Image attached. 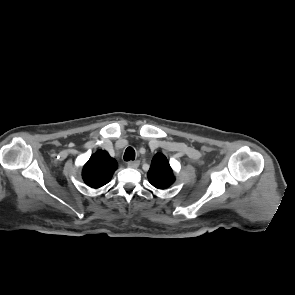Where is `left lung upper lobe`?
<instances>
[{
    "instance_id": "1",
    "label": "left lung upper lobe",
    "mask_w": 295,
    "mask_h": 295,
    "mask_svg": "<svg viewBox=\"0 0 295 295\" xmlns=\"http://www.w3.org/2000/svg\"><path fill=\"white\" fill-rule=\"evenodd\" d=\"M149 182L157 189H166L175 181V177L167 158L157 153L154 155L147 173Z\"/></svg>"
}]
</instances>
